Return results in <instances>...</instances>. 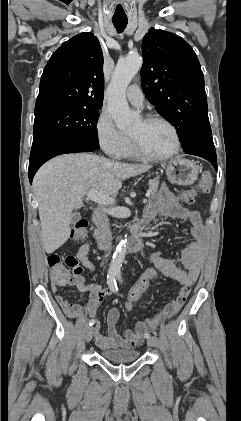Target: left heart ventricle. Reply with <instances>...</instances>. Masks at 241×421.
<instances>
[{"label":"left heart ventricle","instance_id":"obj_1","mask_svg":"<svg viewBox=\"0 0 241 421\" xmlns=\"http://www.w3.org/2000/svg\"><path fill=\"white\" fill-rule=\"evenodd\" d=\"M129 135L136 138L147 153L155 156L170 152L175 144L172 131L162 123L146 124L141 120L133 126Z\"/></svg>","mask_w":241,"mask_h":421}]
</instances>
